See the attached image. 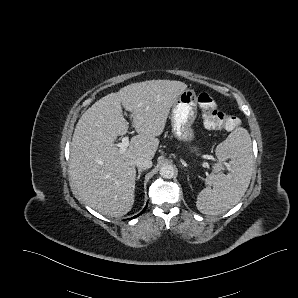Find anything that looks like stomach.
<instances>
[{
	"instance_id": "obj_1",
	"label": "stomach",
	"mask_w": 298,
	"mask_h": 298,
	"mask_svg": "<svg viewBox=\"0 0 298 298\" xmlns=\"http://www.w3.org/2000/svg\"><path fill=\"white\" fill-rule=\"evenodd\" d=\"M198 107L194 89H186L173 104L170 114L171 132L178 142L184 143L188 151L198 154L199 149L192 146L195 139L193 124L197 118Z\"/></svg>"
}]
</instances>
